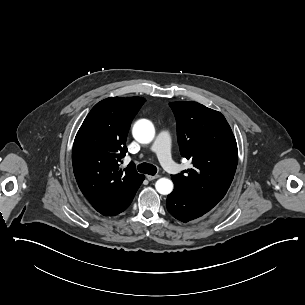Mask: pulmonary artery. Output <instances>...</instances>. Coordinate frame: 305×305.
<instances>
[{
	"instance_id": "obj_1",
	"label": "pulmonary artery",
	"mask_w": 305,
	"mask_h": 305,
	"mask_svg": "<svg viewBox=\"0 0 305 305\" xmlns=\"http://www.w3.org/2000/svg\"><path fill=\"white\" fill-rule=\"evenodd\" d=\"M170 146L169 134L167 131H160L156 136L155 140L149 146V151L155 153L160 159L161 165L166 171L171 174L177 172L178 167L176 164L171 163L170 157Z\"/></svg>"
}]
</instances>
